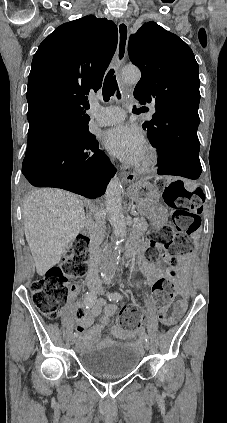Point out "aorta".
Instances as JSON below:
<instances>
[{"label":"aorta","mask_w":227,"mask_h":423,"mask_svg":"<svg viewBox=\"0 0 227 423\" xmlns=\"http://www.w3.org/2000/svg\"><path fill=\"white\" fill-rule=\"evenodd\" d=\"M140 71L133 66L123 69L122 79L126 83H137ZM122 184L118 177H114L107 186L105 206L109 222L113 228L116 241H122L126 236V221L121 204ZM119 257L114 246L105 247L100 254V270L104 277H111L117 268Z\"/></svg>","instance_id":"762f6f07"}]
</instances>
